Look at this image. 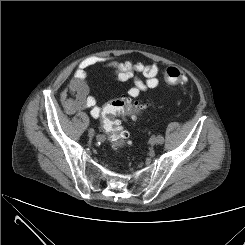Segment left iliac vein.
<instances>
[{"label":"left iliac vein","instance_id":"left-iliac-vein-1","mask_svg":"<svg viewBox=\"0 0 245 245\" xmlns=\"http://www.w3.org/2000/svg\"><path fill=\"white\" fill-rule=\"evenodd\" d=\"M149 143H150L152 146L158 144L157 137H156V136H151V138L149 139Z\"/></svg>","mask_w":245,"mask_h":245}]
</instances>
